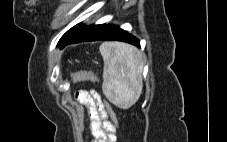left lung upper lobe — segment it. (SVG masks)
<instances>
[{"instance_id": "obj_1", "label": "left lung upper lobe", "mask_w": 227, "mask_h": 142, "mask_svg": "<svg viewBox=\"0 0 227 142\" xmlns=\"http://www.w3.org/2000/svg\"><path fill=\"white\" fill-rule=\"evenodd\" d=\"M84 26L79 23L76 26L72 27L70 30H68L59 40L58 47H61L66 41L71 39L75 34H77L80 30H82Z\"/></svg>"}]
</instances>
